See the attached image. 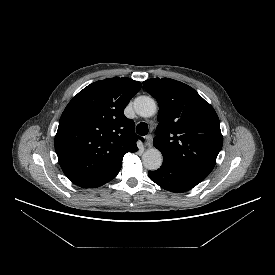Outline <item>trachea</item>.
Returning <instances> with one entry per match:
<instances>
[{"mask_svg":"<svg viewBox=\"0 0 275 275\" xmlns=\"http://www.w3.org/2000/svg\"><path fill=\"white\" fill-rule=\"evenodd\" d=\"M148 130V125L145 122H140L136 127V132L141 136H145Z\"/></svg>","mask_w":275,"mask_h":275,"instance_id":"trachea-1","label":"trachea"}]
</instances>
